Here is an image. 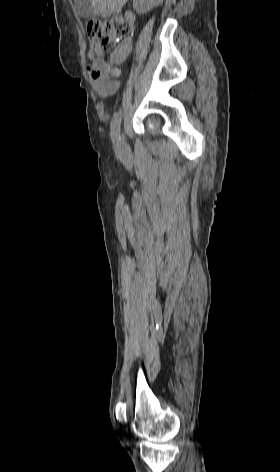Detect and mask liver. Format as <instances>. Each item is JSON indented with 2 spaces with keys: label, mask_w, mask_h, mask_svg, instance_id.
Segmentation results:
<instances>
[{
  "label": "liver",
  "mask_w": 280,
  "mask_h": 472,
  "mask_svg": "<svg viewBox=\"0 0 280 472\" xmlns=\"http://www.w3.org/2000/svg\"><path fill=\"white\" fill-rule=\"evenodd\" d=\"M128 0H90L93 13L102 18H108L119 13Z\"/></svg>",
  "instance_id": "liver-1"
}]
</instances>
